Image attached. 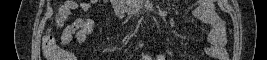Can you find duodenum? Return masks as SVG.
Instances as JSON below:
<instances>
[{
    "mask_svg": "<svg viewBox=\"0 0 267 60\" xmlns=\"http://www.w3.org/2000/svg\"><path fill=\"white\" fill-rule=\"evenodd\" d=\"M115 10L119 16H121L125 11L126 8L122 5V1H115L114 2ZM133 14H139V12H132Z\"/></svg>",
    "mask_w": 267,
    "mask_h": 60,
    "instance_id": "obj_1",
    "label": "duodenum"
}]
</instances>
